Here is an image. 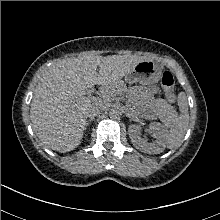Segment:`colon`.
Masks as SVG:
<instances>
[{
	"mask_svg": "<svg viewBox=\"0 0 220 220\" xmlns=\"http://www.w3.org/2000/svg\"><path fill=\"white\" fill-rule=\"evenodd\" d=\"M161 83L167 99L170 102L174 103L176 101V97L174 94V86H175L174 76L170 72H164L161 78Z\"/></svg>",
	"mask_w": 220,
	"mask_h": 220,
	"instance_id": "obj_1",
	"label": "colon"
}]
</instances>
